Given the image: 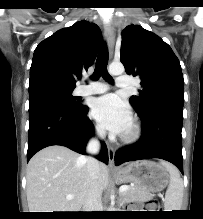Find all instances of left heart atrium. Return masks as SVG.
<instances>
[{
	"mask_svg": "<svg viewBox=\"0 0 203 219\" xmlns=\"http://www.w3.org/2000/svg\"><path fill=\"white\" fill-rule=\"evenodd\" d=\"M92 116L106 129L121 134L131 125L128 105L116 94H107L94 100Z\"/></svg>",
	"mask_w": 203,
	"mask_h": 219,
	"instance_id": "39dd6f15",
	"label": "left heart atrium"
}]
</instances>
